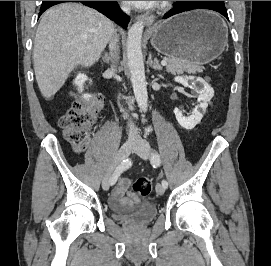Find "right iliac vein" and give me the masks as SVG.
I'll use <instances>...</instances> for the list:
<instances>
[{"label": "right iliac vein", "mask_w": 271, "mask_h": 266, "mask_svg": "<svg viewBox=\"0 0 271 266\" xmlns=\"http://www.w3.org/2000/svg\"><path fill=\"white\" fill-rule=\"evenodd\" d=\"M135 147H136V145L134 143L127 142L119 149L109 172L106 174V176L103 179L102 187L104 190H108L111 186L110 178H111V172H112L113 168L117 164H119L122 160L127 158L130 155L131 151L135 149Z\"/></svg>", "instance_id": "1"}]
</instances>
